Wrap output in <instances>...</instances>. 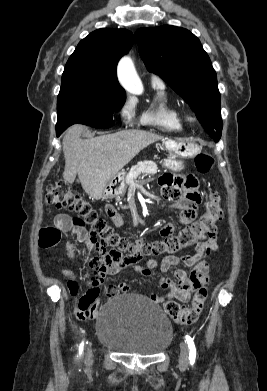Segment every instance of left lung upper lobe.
Wrapping results in <instances>:
<instances>
[{
	"mask_svg": "<svg viewBox=\"0 0 267 391\" xmlns=\"http://www.w3.org/2000/svg\"><path fill=\"white\" fill-rule=\"evenodd\" d=\"M135 38L142 60L195 112L207 133L221 137V98L217 77L199 39L184 28L165 25L141 28Z\"/></svg>",
	"mask_w": 267,
	"mask_h": 391,
	"instance_id": "left-lung-upper-lobe-1",
	"label": "left lung upper lobe"
}]
</instances>
